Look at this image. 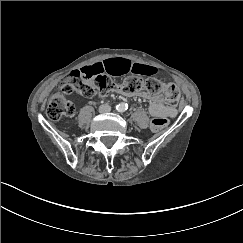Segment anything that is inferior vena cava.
<instances>
[{"label": "inferior vena cava", "mask_w": 243, "mask_h": 243, "mask_svg": "<svg viewBox=\"0 0 243 243\" xmlns=\"http://www.w3.org/2000/svg\"><path fill=\"white\" fill-rule=\"evenodd\" d=\"M111 106L110 105H101L100 107H99V109H98V112L100 113V114H103V113H105V112H110L111 111Z\"/></svg>", "instance_id": "obj_1"}]
</instances>
